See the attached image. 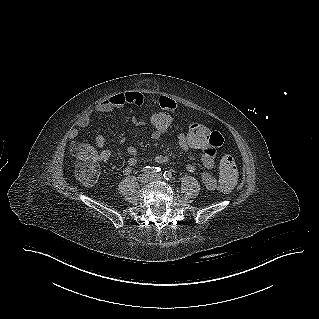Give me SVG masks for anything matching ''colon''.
I'll list each match as a JSON object with an SVG mask.
<instances>
[{
    "label": "colon",
    "instance_id": "obj_1",
    "mask_svg": "<svg viewBox=\"0 0 319 319\" xmlns=\"http://www.w3.org/2000/svg\"><path fill=\"white\" fill-rule=\"evenodd\" d=\"M174 125V114L163 113L162 109L152 112L147 118V127L154 134H166L171 131ZM210 130L202 122H189L182 131L183 142L192 150H203L204 146L211 142ZM72 151L77 160V178L87 186L93 185L100 173V167L93 148L82 146L79 142H75L72 145ZM236 178L237 168L234 158L226 154L220 162V189L223 192L230 191L236 182Z\"/></svg>",
    "mask_w": 319,
    "mask_h": 319
}]
</instances>
